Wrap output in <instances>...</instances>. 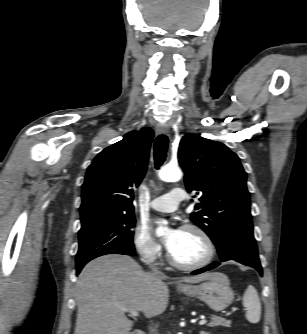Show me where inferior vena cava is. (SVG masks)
I'll use <instances>...</instances> for the list:
<instances>
[{
  "mask_svg": "<svg viewBox=\"0 0 307 334\" xmlns=\"http://www.w3.org/2000/svg\"><path fill=\"white\" fill-rule=\"evenodd\" d=\"M151 269H152V271H153V273H154L155 275H157V276H161V275H162V272L159 271L158 268H156V267H152Z\"/></svg>",
  "mask_w": 307,
  "mask_h": 334,
  "instance_id": "obj_1",
  "label": "inferior vena cava"
}]
</instances>
